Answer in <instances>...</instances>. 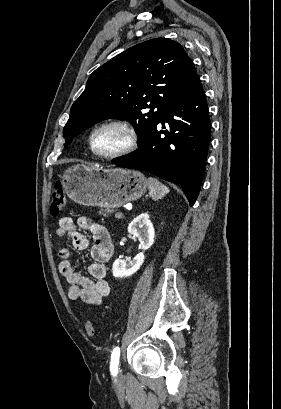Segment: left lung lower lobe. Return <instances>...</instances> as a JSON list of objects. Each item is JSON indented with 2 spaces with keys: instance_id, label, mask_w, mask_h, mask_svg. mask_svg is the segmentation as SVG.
<instances>
[{
  "instance_id": "left-lung-lower-lobe-1",
  "label": "left lung lower lobe",
  "mask_w": 281,
  "mask_h": 409,
  "mask_svg": "<svg viewBox=\"0 0 281 409\" xmlns=\"http://www.w3.org/2000/svg\"><path fill=\"white\" fill-rule=\"evenodd\" d=\"M160 130V124L165 129ZM211 138V121L199 76L177 97L134 153L114 164L143 170L182 187L190 206L199 194Z\"/></svg>"
}]
</instances>
